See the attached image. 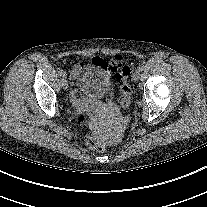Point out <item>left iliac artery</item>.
I'll list each match as a JSON object with an SVG mask.
<instances>
[{
    "instance_id": "left-iliac-artery-1",
    "label": "left iliac artery",
    "mask_w": 207,
    "mask_h": 207,
    "mask_svg": "<svg viewBox=\"0 0 207 207\" xmlns=\"http://www.w3.org/2000/svg\"><path fill=\"white\" fill-rule=\"evenodd\" d=\"M144 67H145V66H144L143 64H141V65H139L138 70H139V71H143V70H144Z\"/></svg>"
}]
</instances>
